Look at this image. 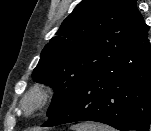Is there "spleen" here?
I'll list each match as a JSON object with an SVG mask.
<instances>
[{"label":"spleen","mask_w":151,"mask_h":131,"mask_svg":"<svg viewBox=\"0 0 151 131\" xmlns=\"http://www.w3.org/2000/svg\"><path fill=\"white\" fill-rule=\"evenodd\" d=\"M73 131H115L110 126L99 123H82L71 127Z\"/></svg>","instance_id":"3e777b00"}]
</instances>
